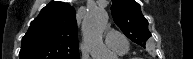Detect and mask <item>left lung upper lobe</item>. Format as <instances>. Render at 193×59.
Instances as JSON below:
<instances>
[{
    "instance_id": "obj_1",
    "label": "left lung upper lobe",
    "mask_w": 193,
    "mask_h": 59,
    "mask_svg": "<svg viewBox=\"0 0 193 59\" xmlns=\"http://www.w3.org/2000/svg\"><path fill=\"white\" fill-rule=\"evenodd\" d=\"M112 16L117 26L133 42L145 48L151 36L148 21L142 15L140 5L135 0H112Z\"/></svg>"
}]
</instances>
